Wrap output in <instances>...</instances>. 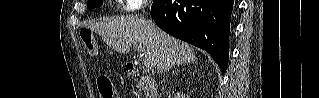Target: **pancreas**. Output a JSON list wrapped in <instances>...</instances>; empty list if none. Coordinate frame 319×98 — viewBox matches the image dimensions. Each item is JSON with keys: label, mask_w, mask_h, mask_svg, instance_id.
Here are the masks:
<instances>
[{"label": "pancreas", "mask_w": 319, "mask_h": 98, "mask_svg": "<svg viewBox=\"0 0 319 98\" xmlns=\"http://www.w3.org/2000/svg\"><path fill=\"white\" fill-rule=\"evenodd\" d=\"M145 90H147V88H146L144 85H142L141 82H140V83H139V92H137L136 95H137L138 97H140L141 94H142V91H145Z\"/></svg>", "instance_id": "cf45deb5"}]
</instances>
